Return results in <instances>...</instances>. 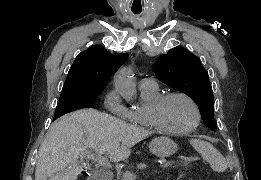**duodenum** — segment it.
I'll use <instances>...</instances> for the list:
<instances>
[{
  "mask_svg": "<svg viewBox=\"0 0 261 180\" xmlns=\"http://www.w3.org/2000/svg\"><path fill=\"white\" fill-rule=\"evenodd\" d=\"M87 180H105L102 173H97L96 177H88Z\"/></svg>",
  "mask_w": 261,
  "mask_h": 180,
  "instance_id": "410a0bca",
  "label": "duodenum"
}]
</instances>
